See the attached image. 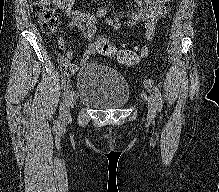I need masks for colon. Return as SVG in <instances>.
Segmentation results:
<instances>
[{"label":"colon","mask_w":219,"mask_h":192,"mask_svg":"<svg viewBox=\"0 0 219 192\" xmlns=\"http://www.w3.org/2000/svg\"><path fill=\"white\" fill-rule=\"evenodd\" d=\"M31 10L43 32L54 34L58 31L59 17L56 10L51 7L50 0H34L31 4ZM96 50L103 56L115 57L118 62L126 66L136 65L142 57L134 50L127 48L118 49L106 40H100L97 43ZM60 66L68 74L73 70L72 65L66 59H61Z\"/></svg>","instance_id":"colon-1"}]
</instances>
